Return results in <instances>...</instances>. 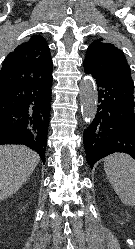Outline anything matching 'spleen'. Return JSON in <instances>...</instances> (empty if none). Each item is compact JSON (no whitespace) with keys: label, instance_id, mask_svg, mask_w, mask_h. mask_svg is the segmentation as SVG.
<instances>
[{"label":"spleen","instance_id":"3e777b00","mask_svg":"<svg viewBox=\"0 0 135 249\" xmlns=\"http://www.w3.org/2000/svg\"><path fill=\"white\" fill-rule=\"evenodd\" d=\"M104 170L123 204L135 206V160L127 154H113L104 159Z\"/></svg>","mask_w":135,"mask_h":249}]
</instances>
